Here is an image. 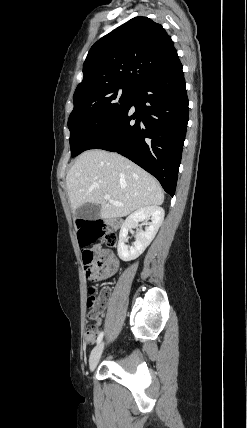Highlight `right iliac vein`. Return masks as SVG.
<instances>
[{"label": "right iliac vein", "instance_id": "obj_1", "mask_svg": "<svg viewBox=\"0 0 247 428\" xmlns=\"http://www.w3.org/2000/svg\"><path fill=\"white\" fill-rule=\"evenodd\" d=\"M103 349H104V342H100L92 350L90 358H89V367H90L91 371H93L96 368V366H97V364H98V362L100 360V357L102 355Z\"/></svg>", "mask_w": 247, "mask_h": 428}]
</instances>
